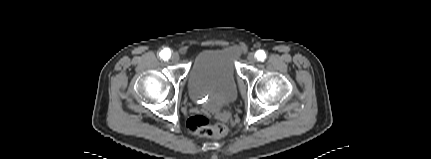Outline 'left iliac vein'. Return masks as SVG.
I'll use <instances>...</instances> for the list:
<instances>
[{"label": "left iliac vein", "instance_id": "left-iliac-vein-1", "mask_svg": "<svg viewBox=\"0 0 431 159\" xmlns=\"http://www.w3.org/2000/svg\"><path fill=\"white\" fill-rule=\"evenodd\" d=\"M247 60L250 64H254L256 62V55L254 53H249Z\"/></svg>", "mask_w": 431, "mask_h": 159}]
</instances>
